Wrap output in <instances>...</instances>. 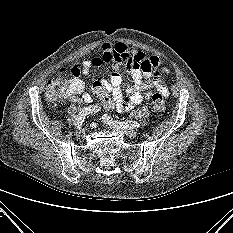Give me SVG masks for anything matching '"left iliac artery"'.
Here are the masks:
<instances>
[{"mask_svg": "<svg viewBox=\"0 0 233 233\" xmlns=\"http://www.w3.org/2000/svg\"><path fill=\"white\" fill-rule=\"evenodd\" d=\"M108 124H113V125H120L126 128H132V129H137L139 127V123L136 121H126V122H118L117 120H114L109 116L108 114H104L102 117Z\"/></svg>", "mask_w": 233, "mask_h": 233, "instance_id": "44dca946", "label": "left iliac artery"}]
</instances>
